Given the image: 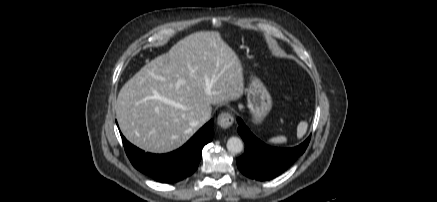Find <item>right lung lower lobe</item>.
Instances as JSON below:
<instances>
[{
    "label": "right lung lower lobe",
    "mask_w": 437,
    "mask_h": 202,
    "mask_svg": "<svg viewBox=\"0 0 437 202\" xmlns=\"http://www.w3.org/2000/svg\"><path fill=\"white\" fill-rule=\"evenodd\" d=\"M213 120L206 123L181 148L167 154L145 153L121 134L124 149L132 165L162 183H176L191 176L198 168L203 147L213 138Z\"/></svg>",
    "instance_id": "obj_1"
}]
</instances>
